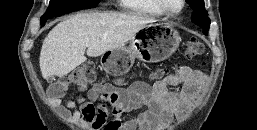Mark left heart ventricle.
<instances>
[{"instance_id":"left-heart-ventricle-1","label":"left heart ventricle","mask_w":257,"mask_h":130,"mask_svg":"<svg viewBox=\"0 0 257 130\" xmlns=\"http://www.w3.org/2000/svg\"><path fill=\"white\" fill-rule=\"evenodd\" d=\"M167 5L173 9L178 10L181 6V0H165Z\"/></svg>"}]
</instances>
